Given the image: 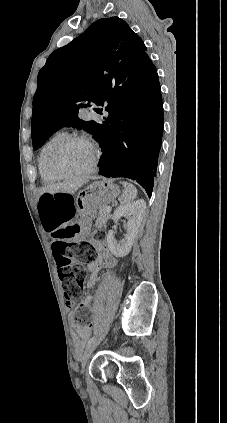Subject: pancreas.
I'll list each match as a JSON object with an SVG mask.
<instances>
[{
  "instance_id": "1",
  "label": "pancreas",
  "mask_w": 227,
  "mask_h": 423,
  "mask_svg": "<svg viewBox=\"0 0 227 423\" xmlns=\"http://www.w3.org/2000/svg\"><path fill=\"white\" fill-rule=\"evenodd\" d=\"M107 206H99L98 208V217L96 219V227H100V225H103L105 221L108 219L109 211L106 210Z\"/></svg>"
}]
</instances>
